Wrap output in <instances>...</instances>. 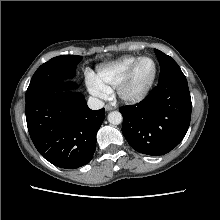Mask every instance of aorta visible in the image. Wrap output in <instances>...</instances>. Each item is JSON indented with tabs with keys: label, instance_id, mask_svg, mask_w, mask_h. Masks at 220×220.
<instances>
[{
	"label": "aorta",
	"instance_id": "aorta-1",
	"mask_svg": "<svg viewBox=\"0 0 220 220\" xmlns=\"http://www.w3.org/2000/svg\"><path fill=\"white\" fill-rule=\"evenodd\" d=\"M122 115L119 111H112L108 114V122L113 125H119L122 122Z\"/></svg>",
	"mask_w": 220,
	"mask_h": 220
}]
</instances>
